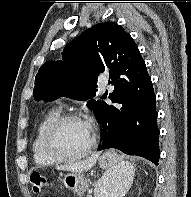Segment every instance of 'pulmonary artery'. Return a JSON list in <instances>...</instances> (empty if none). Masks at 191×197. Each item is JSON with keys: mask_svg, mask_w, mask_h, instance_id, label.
Segmentation results:
<instances>
[{"mask_svg": "<svg viewBox=\"0 0 191 197\" xmlns=\"http://www.w3.org/2000/svg\"><path fill=\"white\" fill-rule=\"evenodd\" d=\"M106 86H107V81L106 80L100 81V87H101L102 90H104L106 88Z\"/></svg>", "mask_w": 191, "mask_h": 197, "instance_id": "e3ab8cb5", "label": "pulmonary artery"}]
</instances>
